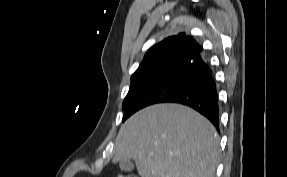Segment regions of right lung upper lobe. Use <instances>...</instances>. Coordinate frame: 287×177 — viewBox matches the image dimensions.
Segmentation results:
<instances>
[{
	"label": "right lung upper lobe",
	"mask_w": 287,
	"mask_h": 177,
	"mask_svg": "<svg viewBox=\"0 0 287 177\" xmlns=\"http://www.w3.org/2000/svg\"><path fill=\"white\" fill-rule=\"evenodd\" d=\"M201 52L202 47L194 39L186 36L184 33H180L176 36L167 37L151 47L138 69L148 67L168 58L179 59L182 63L189 62L198 57Z\"/></svg>",
	"instance_id": "obj_1"
}]
</instances>
